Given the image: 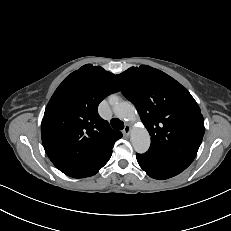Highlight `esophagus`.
<instances>
[{
    "instance_id": "1",
    "label": "esophagus",
    "mask_w": 231,
    "mask_h": 231,
    "mask_svg": "<svg viewBox=\"0 0 231 231\" xmlns=\"http://www.w3.org/2000/svg\"><path fill=\"white\" fill-rule=\"evenodd\" d=\"M131 131V126L129 124H126L124 129H123V134L124 135H129Z\"/></svg>"
}]
</instances>
